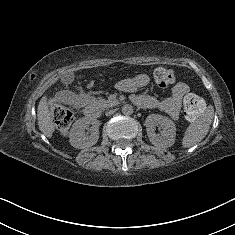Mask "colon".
<instances>
[{
  "label": "colon",
  "mask_w": 235,
  "mask_h": 235,
  "mask_svg": "<svg viewBox=\"0 0 235 235\" xmlns=\"http://www.w3.org/2000/svg\"><path fill=\"white\" fill-rule=\"evenodd\" d=\"M154 80L158 87L167 88L175 81V73L168 68L159 67L154 72ZM205 107L204 101L195 94H188L184 99V115L189 121L196 120ZM51 113L58 131L67 134L72 122L73 114L65 106L58 102H52Z\"/></svg>",
  "instance_id": "1"
}]
</instances>
